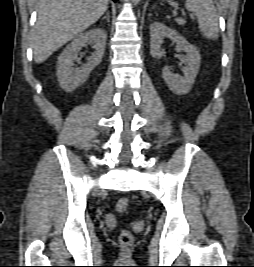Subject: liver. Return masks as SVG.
Wrapping results in <instances>:
<instances>
[{
  "instance_id": "obj_1",
  "label": "liver",
  "mask_w": 254,
  "mask_h": 267,
  "mask_svg": "<svg viewBox=\"0 0 254 267\" xmlns=\"http://www.w3.org/2000/svg\"><path fill=\"white\" fill-rule=\"evenodd\" d=\"M109 0H40L32 30L36 63H43L68 41L79 36L107 10Z\"/></svg>"
}]
</instances>
